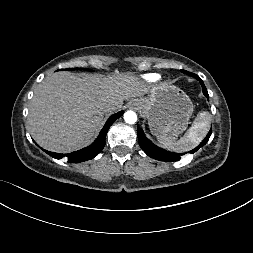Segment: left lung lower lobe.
<instances>
[{
	"label": "left lung lower lobe",
	"instance_id": "left-lung-lower-lobe-1",
	"mask_svg": "<svg viewBox=\"0 0 253 253\" xmlns=\"http://www.w3.org/2000/svg\"><path fill=\"white\" fill-rule=\"evenodd\" d=\"M187 74L195 77L201 83L204 95L207 98H209L207 89L203 81L201 80V78L198 75L190 73V72H187ZM137 129H138V141H139L140 147L151 158L168 162V161H178L180 160L181 156L184 155V154L168 152L164 149L157 147L145 136L143 130L140 127H137ZM210 136H211V131H209V133L207 134L205 139L200 143V145L197 146L195 149L191 150L190 153H194L200 147H203L209 140Z\"/></svg>",
	"mask_w": 253,
	"mask_h": 253
}]
</instances>
